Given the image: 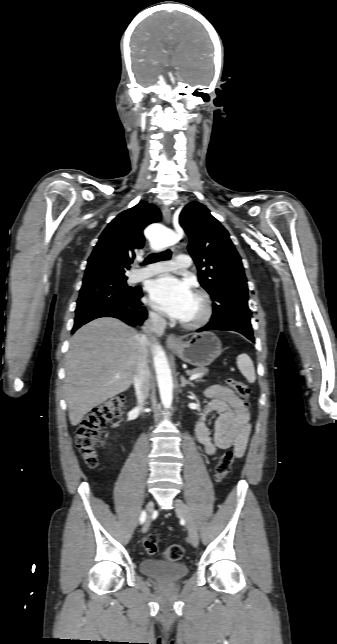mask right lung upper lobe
Listing matches in <instances>:
<instances>
[{
	"label": "right lung upper lobe",
	"instance_id": "right-lung-upper-lobe-1",
	"mask_svg": "<svg viewBox=\"0 0 337 644\" xmlns=\"http://www.w3.org/2000/svg\"><path fill=\"white\" fill-rule=\"evenodd\" d=\"M161 213L153 204L140 202L114 218L99 237L88 259L83 281L95 278H127L137 251L144 246L143 229L159 222Z\"/></svg>",
	"mask_w": 337,
	"mask_h": 644
}]
</instances>
